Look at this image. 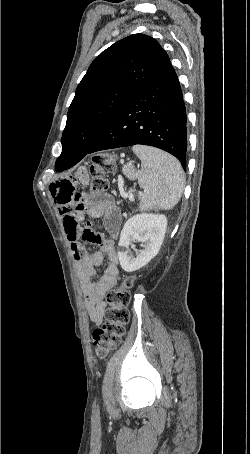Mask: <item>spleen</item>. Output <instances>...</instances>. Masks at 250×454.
I'll return each mask as SVG.
<instances>
[{"label":"spleen","mask_w":250,"mask_h":454,"mask_svg":"<svg viewBox=\"0 0 250 454\" xmlns=\"http://www.w3.org/2000/svg\"><path fill=\"white\" fill-rule=\"evenodd\" d=\"M133 152L141 160L139 185L144 189L141 210H169L180 200L185 175L173 156L153 147L135 145Z\"/></svg>","instance_id":"spleen-1"}]
</instances>
